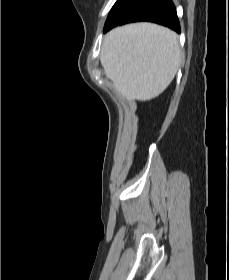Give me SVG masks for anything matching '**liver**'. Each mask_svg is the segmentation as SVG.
<instances>
[{
	"mask_svg": "<svg viewBox=\"0 0 229 280\" xmlns=\"http://www.w3.org/2000/svg\"><path fill=\"white\" fill-rule=\"evenodd\" d=\"M178 35L153 23L117 27L103 40L100 61L114 89L127 101H147L171 83L180 63Z\"/></svg>",
	"mask_w": 229,
	"mask_h": 280,
	"instance_id": "liver-1",
	"label": "liver"
}]
</instances>
